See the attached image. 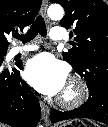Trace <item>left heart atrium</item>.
I'll list each match as a JSON object with an SVG mask.
<instances>
[{
    "label": "left heart atrium",
    "instance_id": "obj_1",
    "mask_svg": "<svg viewBox=\"0 0 108 127\" xmlns=\"http://www.w3.org/2000/svg\"><path fill=\"white\" fill-rule=\"evenodd\" d=\"M67 68L49 53H41L28 61L25 79L36 90L47 95L61 93L67 85Z\"/></svg>",
    "mask_w": 108,
    "mask_h": 127
}]
</instances>
